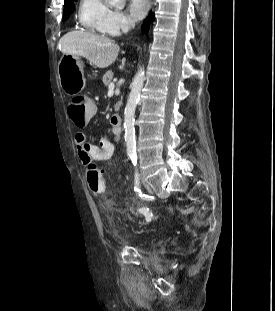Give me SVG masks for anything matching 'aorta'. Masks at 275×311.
I'll return each instance as SVG.
<instances>
[{
  "instance_id": "1",
  "label": "aorta",
  "mask_w": 275,
  "mask_h": 311,
  "mask_svg": "<svg viewBox=\"0 0 275 311\" xmlns=\"http://www.w3.org/2000/svg\"><path fill=\"white\" fill-rule=\"evenodd\" d=\"M106 1L108 2L109 5L117 8H123L125 5V0H106ZM144 80H145V70L144 67H141L133 79L131 92L124 112L125 142L128 153H133L135 151L134 115Z\"/></svg>"
}]
</instances>
